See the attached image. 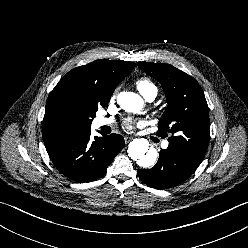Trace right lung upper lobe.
<instances>
[{"mask_svg": "<svg viewBox=\"0 0 248 248\" xmlns=\"http://www.w3.org/2000/svg\"><path fill=\"white\" fill-rule=\"evenodd\" d=\"M135 67L133 62L96 60L69 71L51 91L45 108L42 126L43 140L69 133L51 118L53 108L64 102L94 98L110 101L113 91Z\"/></svg>", "mask_w": 248, "mask_h": 248, "instance_id": "right-lung-upper-lobe-1", "label": "right lung upper lobe"}]
</instances>
